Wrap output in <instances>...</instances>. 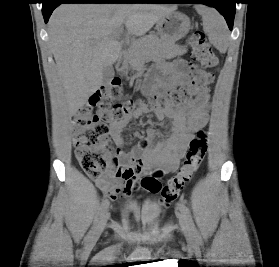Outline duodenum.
<instances>
[{"mask_svg": "<svg viewBox=\"0 0 279 267\" xmlns=\"http://www.w3.org/2000/svg\"><path fill=\"white\" fill-rule=\"evenodd\" d=\"M127 67H128V64H127V61L124 57L118 60V62L116 64V68L119 72H121V73L126 72Z\"/></svg>", "mask_w": 279, "mask_h": 267, "instance_id": "duodenum-1", "label": "duodenum"}]
</instances>
